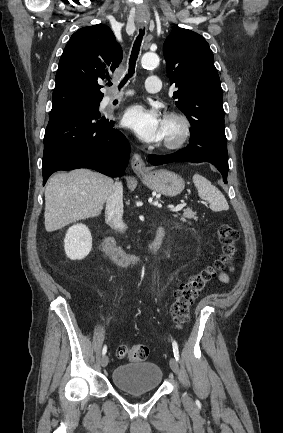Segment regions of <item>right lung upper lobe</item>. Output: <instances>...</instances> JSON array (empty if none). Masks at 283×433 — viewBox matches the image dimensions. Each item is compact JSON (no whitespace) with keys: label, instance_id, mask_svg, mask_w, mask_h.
<instances>
[{"label":"right lung upper lobe","instance_id":"right-lung-upper-lobe-1","mask_svg":"<svg viewBox=\"0 0 283 433\" xmlns=\"http://www.w3.org/2000/svg\"><path fill=\"white\" fill-rule=\"evenodd\" d=\"M112 30L97 24L75 32L59 61L50 115L101 101L98 81L109 79L122 60Z\"/></svg>","mask_w":283,"mask_h":433}]
</instances>
